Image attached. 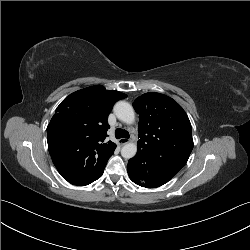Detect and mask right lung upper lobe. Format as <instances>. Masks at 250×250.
<instances>
[{"label": "right lung upper lobe", "instance_id": "1", "mask_svg": "<svg viewBox=\"0 0 250 250\" xmlns=\"http://www.w3.org/2000/svg\"><path fill=\"white\" fill-rule=\"evenodd\" d=\"M127 97L101 85L78 90L57 107L47 127L48 150L68 182L88 185L103 174L116 144L105 141L114 102Z\"/></svg>", "mask_w": 250, "mask_h": 250}]
</instances>
